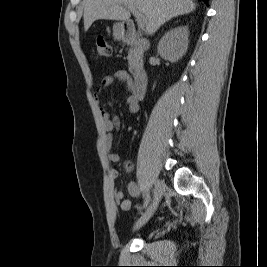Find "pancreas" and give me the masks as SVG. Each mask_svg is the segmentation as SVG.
<instances>
[{"instance_id":"1","label":"pancreas","mask_w":267,"mask_h":267,"mask_svg":"<svg viewBox=\"0 0 267 267\" xmlns=\"http://www.w3.org/2000/svg\"><path fill=\"white\" fill-rule=\"evenodd\" d=\"M143 50L138 44H131L128 53L129 71L133 70L142 62Z\"/></svg>"}]
</instances>
